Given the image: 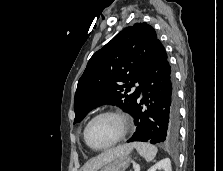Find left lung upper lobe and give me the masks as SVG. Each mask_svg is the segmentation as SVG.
Here are the masks:
<instances>
[{
  "label": "left lung upper lobe",
  "mask_w": 223,
  "mask_h": 171,
  "mask_svg": "<svg viewBox=\"0 0 223 171\" xmlns=\"http://www.w3.org/2000/svg\"><path fill=\"white\" fill-rule=\"evenodd\" d=\"M158 42L152 26L135 23L98 50L78 81L74 124L103 104L117 105L132 114L139 87L134 92H130L131 88L141 83Z\"/></svg>",
  "instance_id": "left-lung-upper-lobe-1"
}]
</instances>
